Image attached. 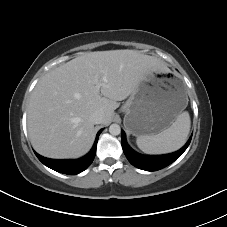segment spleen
I'll return each mask as SVG.
<instances>
[{"label": "spleen", "instance_id": "spleen-1", "mask_svg": "<svg viewBox=\"0 0 227 227\" xmlns=\"http://www.w3.org/2000/svg\"><path fill=\"white\" fill-rule=\"evenodd\" d=\"M191 121L187 111L180 113L170 127L152 136L136 139L140 150L148 154H166L180 149L187 140Z\"/></svg>", "mask_w": 227, "mask_h": 227}]
</instances>
